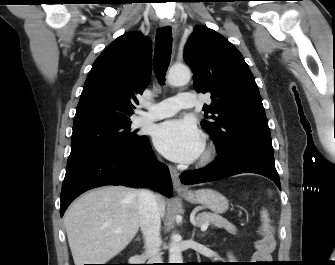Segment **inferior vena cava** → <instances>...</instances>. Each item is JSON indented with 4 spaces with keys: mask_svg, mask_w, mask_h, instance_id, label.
I'll return each mask as SVG.
<instances>
[{
    "mask_svg": "<svg viewBox=\"0 0 335 265\" xmlns=\"http://www.w3.org/2000/svg\"><path fill=\"white\" fill-rule=\"evenodd\" d=\"M138 205L145 255L152 263H161L162 259L159 254L161 219L155 195L149 190H140Z\"/></svg>",
    "mask_w": 335,
    "mask_h": 265,
    "instance_id": "602c4592",
    "label": "inferior vena cava"
}]
</instances>
